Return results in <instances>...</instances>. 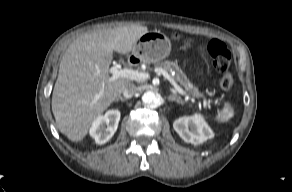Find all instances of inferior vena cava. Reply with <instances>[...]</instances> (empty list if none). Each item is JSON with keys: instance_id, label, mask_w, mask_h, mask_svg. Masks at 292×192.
I'll return each mask as SVG.
<instances>
[{"instance_id": "1", "label": "inferior vena cava", "mask_w": 292, "mask_h": 192, "mask_svg": "<svg viewBox=\"0 0 292 192\" xmlns=\"http://www.w3.org/2000/svg\"><path fill=\"white\" fill-rule=\"evenodd\" d=\"M138 91V88L132 84V83H129L124 89H123V97L124 98H131L133 97L136 92Z\"/></svg>"}]
</instances>
